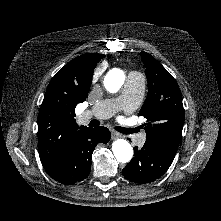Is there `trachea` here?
<instances>
[{"instance_id": "obj_1", "label": "trachea", "mask_w": 221, "mask_h": 221, "mask_svg": "<svg viewBox=\"0 0 221 221\" xmlns=\"http://www.w3.org/2000/svg\"><path fill=\"white\" fill-rule=\"evenodd\" d=\"M95 121V120H93ZM91 121L90 124H95V122ZM115 129L120 132V133H123V134H131V133H135V132H138V128H124V127H120V126H117L115 127Z\"/></svg>"}]
</instances>
